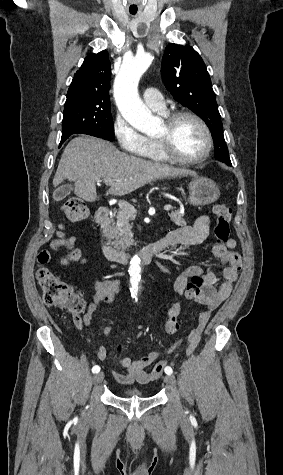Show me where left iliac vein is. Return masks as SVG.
I'll return each instance as SVG.
<instances>
[{
  "instance_id": "left-iliac-vein-1",
  "label": "left iliac vein",
  "mask_w": 283,
  "mask_h": 475,
  "mask_svg": "<svg viewBox=\"0 0 283 475\" xmlns=\"http://www.w3.org/2000/svg\"><path fill=\"white\" fill-rule=\"evenodd\" d=\"M163 380L169 385L176 386L175 377L173 375H166Z\"/></svg>"
}]
</instances>
